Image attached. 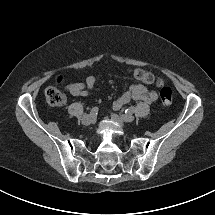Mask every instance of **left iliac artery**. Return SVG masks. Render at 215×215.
<instances>
[{"mask_svg":"<svg viewBox=\"0 0 215 215\" xmlns=\"http://www.w3.org/2000/svg\"><path fill=\"white\" fill-rule=\"evenodd\" d=\"M135 110H136V108L134 106H131V107L125 109V113L126 114H132L135 112Z\"/></svg>","mask_w":215,"mask_h":215,"instance_id":"obj_1","label":"left iliac artery"}]
</instances>
